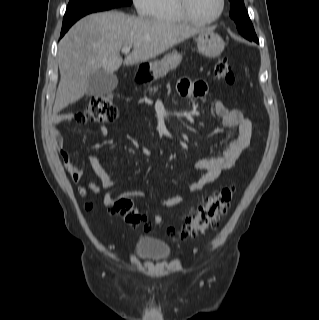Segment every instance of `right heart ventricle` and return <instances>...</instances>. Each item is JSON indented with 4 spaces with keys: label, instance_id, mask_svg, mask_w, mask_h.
Listing matches in <instances>:
<instances>
[{
    "label": "right heart ventricle",
    "instance_id": "right-heart-ventricle-1",
    "mask_svg": "<svg viewBox=\"0 0 319 320\" xmlns=\"http://www.w3.org/2000/svg\"><path fill=\"white\" fill-rule=\"evenodd\" d=\"M151 17L160 23L182 24L186 22L178 11L175 0H156Z\"/></svg>",
    "mask_w": 319,
    "mask_h": 320
}]
</instances>
